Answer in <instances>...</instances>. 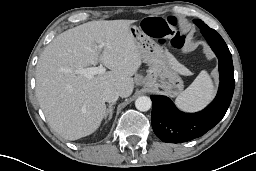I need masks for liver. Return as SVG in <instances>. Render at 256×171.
<instances>
[{
    "mask_svg": "<svg viewBox=\"0 0 256 171\" xmlns=\"http://www.w3.org/2000/svg\"><path fill=\"white\" fill-rule=\"evenodd\" d=\"M132 23L134 20L84 23L59 34L40 55L36 96L50 127L61 137L77 140L99 128L106 112L105 89L113 88L123 98L132 94V76L142 63L130 32ZM99 62L110 71L92 79L75 73ZM175 67L186 72L177 62Z\"/></svg>",
    "mask_w": 256,
    "mask_h": 171,
    "instance_id": "obj_1",
    "label": "liver"
}]
</instances>
